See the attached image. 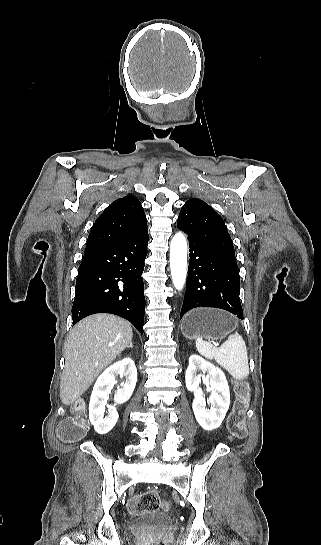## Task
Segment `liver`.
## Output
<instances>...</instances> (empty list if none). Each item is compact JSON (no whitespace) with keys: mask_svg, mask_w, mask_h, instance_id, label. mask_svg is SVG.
I'll return each mask as SVG.
<instances>
[{"mask_svg":"<svg viewBox=\"0 0 321 545\" xmlns=\"http://www.w3.org/2000/svg\"><path fill=\"white\" fill-rule=\"evenodd\" d=\"M132 329L115 315H92L75 325L65 347L60 383L63 405L77 401L132 341Z\"/></svg>","mask_w":321,"mask_h":545,"instance_id":"liver-1","label":"liver"}]
</instances>
